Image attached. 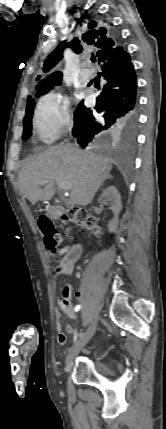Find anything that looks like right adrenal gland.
<instances>
[{"label": "right adrenal gland", "instance_id": "obj_1", "mask_svg": "<svg viewBox=\"0 0 166 429\" xmlns=\"http://www.w3.org/2000/svg\"><path fill=\"white\" fill-rule=\"evenodd\" d=\"M108 178H109V179H112V176H109Z\"/></svg>", "mask_w": 166, "mask_h": 429}]
</instances>
